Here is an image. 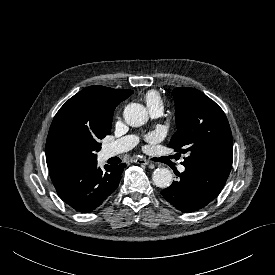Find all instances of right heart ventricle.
I'll use <instances>...</instances> for the list:
<instances>
[{
	"label": "right heart ventricle",
	"instance_id": "e07e8e85",
	"mask_svg": "<svg viewBox=\"0 0 275 275\" xmlns=\"http://www.w3.org/2000/svg\"><path fill=\"white\" fill-rule=\"evenodd\" d=\"M145 101H146L147 106H152V105H157V104L162 105V99H161L159 93L154 90L148 91L146 93Z\"/></svg>",
	"mask_w": 275,
	"mask_h": 275
}]
</instances>
